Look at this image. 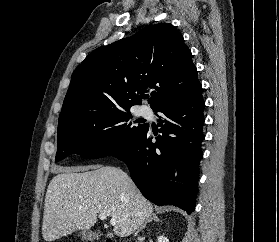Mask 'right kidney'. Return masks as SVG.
Segmentation results:
<instances>
[{"label": "right kidney", "mask_w": 279, "mask_h": 242, "mask_svg": "<svg viewBox=\"0 0 279 242\" xmlns=\"http://www.w3.org/2000/svg\"><path fill=\"white\" fill-rule=\"evenodd\" d=\"M157 242H169V240L167 239V237L160 236L158 237Z\"/></svg>", "instance_id": "obj_1"}]
</instances>
